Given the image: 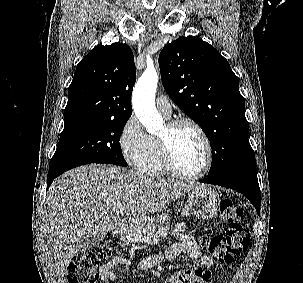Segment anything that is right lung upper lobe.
<instances>
[{
	"instance_id": "right-lung-upper-lobe-1",
	"label": "right lung upper lobe",
	"mask_w": 303,
	"mask_h": 283,
	"mask_svg": "<svg viewBox=\"0 0 303 283\" xmlns=\"http://www.w3.org/2000/svg\"><path fill=\"white\" fill-rule=\"evenodd\" d=\"M135 80L134 56L128 45H97L77 65L68 89L65 118L129 119Z\"/></svg>"
}]
</instances>
